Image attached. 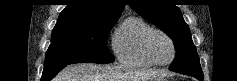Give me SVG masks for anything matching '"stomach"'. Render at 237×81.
Segmentation results:
<instances>
[{"label": "stomach", "instance_id": "obj_1", "mask_svg": "<svg viewBox=\"0 0 237 81\" xmlns=\"http://www.w3.org/2000/svg\"><path fill=\"white\" fill-rule=\"evenodd\" d=\"M152 81H166V79L164 77L158 78V79H154Z\"/></svg>", "mask_w": 237, "mask_h": 81}]
</instances>
